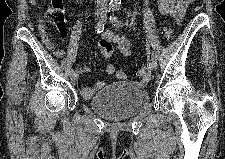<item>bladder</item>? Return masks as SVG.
<instances>
[{
	"mask_svg": "<svg viewBox=\"0 0 225 159\" xmlns=\"http://www.w3.org/2000/svg\"><path fill=\"white\" fill-rule=\"evenodd\" d=\"M149 104L147 92L128 81L111 83L98 91L90 100V107L108 119H128Z\"/></svg>",
	"mask_w": 225,
	"mask_h": 159,
	"instance_id": "31cf9c89",
	"label": "bladder"
}]
</instances>
